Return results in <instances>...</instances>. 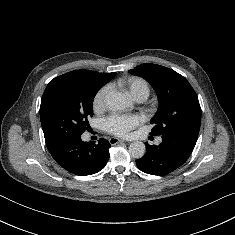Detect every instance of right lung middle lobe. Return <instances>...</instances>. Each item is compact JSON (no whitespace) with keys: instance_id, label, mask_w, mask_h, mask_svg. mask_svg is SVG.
I'll return each mask as SVG.
<instances>
[{"instance_id":"dd1d6c3e","label":"right lung middle lobe","mask_w":235,"mask_h":235,"mask_svg":"<svg viewBox=\"0 0 235 235\" xmlns=\"http://www.w3.org/2000/svg\"><path fill=\"white\" fill-rule=\"evenodd\" d=\"M103 85L84 76H59L47 85L40 119L48 149L87 129L94 97Z\"/></svg>"}]
</instances>
